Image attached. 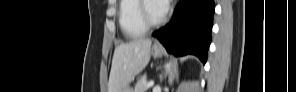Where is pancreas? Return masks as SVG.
I'll return each instance as SVG.
<instances>
[{"mask_svg":"<svg viewBox=\"0 0 296 92\" xmlns=\"http://www.w3.org/2000/svg\"><path fill=\"white\" fill-rule=\"evenodd\" d=\"M147 77L146 75H143L135 85V90L134 92H147L148 87H147Z\"/></svg>","mask_w":296,"mask_h":92,"instance_id":"1","label":"pancreas"}]
</instances>
